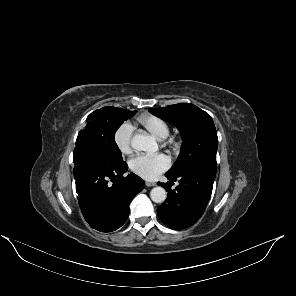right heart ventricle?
<instances>
[{
  "label": "right heart ventricle",
  "instance_id": "1",
  "mask_svg": "<svg viewBox=\"0 0 296 296\" xmlns=\"http://www.w3.org/2000/svg\"><path fill=\"white\" fill-rule=\"evenodd\" d=\"M137 123L158 140L165 139L170 133L169 123L156 115H142L137 119Z\"/></svg>",
  "mask_w": 296,
  "mask_h": 296
}]
</instances>
